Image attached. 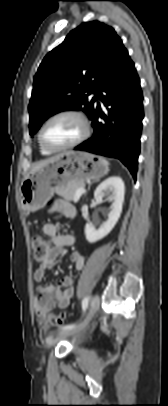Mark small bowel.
<instances>
[{
  "label": "small bowel",
  "mask_w": 168,
  "mask_h": 406,
  "mask_svg": "<svg viewBox=\"0 0 168 406\" xmlns=\"http://www.w3.org/2000/svg\"><path fill=\"white\" fill-rule=\"evenodd\" d=\"M62 209L67 217H73L74 211L72 208L56 203L50 209L49 212L53 213ZM44 234L50 239L53 244L52 252L46 261H43L40 266L34 272V280L41 283L45 277L46 271L56 266V259L61 255L64 249L71 246L75 242L73 235H66L60 233L59 223H46L43 226ZM71 261L75 265L76 270L83 269L85 264L84 256L78 252L73 251L70 255ZM75 294L73 288V278L70 276L64 277L58 285H40L35 295V312L37 321L41 326L47 328L49 323L46 320V313L53 309H65L69 306L71 300Z\"/></svg>",
  "instance_id": "c3829d8e"
}]
</instances>
